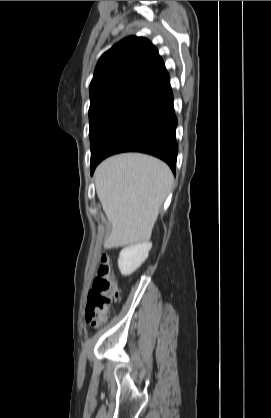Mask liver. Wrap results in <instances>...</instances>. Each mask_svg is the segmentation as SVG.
Returning <instances> with one entry per match:
<instances>
[{"label": "liver", "mask_w": 271, "mask_h": 418, "mask_svg": "<svg viewBox=\"0 0 271 418\" xmlns=\"http://www.w3.org/2000/svg\"><path fill=\"white\" fill-rule=\"evenodd\" d=\"M97 196L112 225L107 249L151 238L160 208L169 195L173 174L161 160L125 153L104 160L95 171Z\"/></svg>", "instance_id": "liver-1"}]
</instances>
